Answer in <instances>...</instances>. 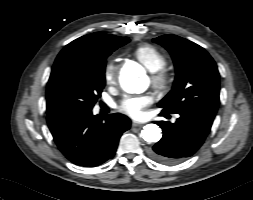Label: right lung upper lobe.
I'll use <instances>...</instances> for the list:
<instances>
[{"label": "right lung upper lobe", "mask_w": 253, "mask_h": 200, "mask_svg": "<svg viewBox=\"0 0 253 200\" xmlns=\"http://www.w3.org/2000/svg\"><path fill=\"white\" fill-rule=\"evenodd\" d=\"M120 37L104 33H92L82 36L64 47L57 58L64 56L94 57L101 50Z\"/></svg>", "instance_id": "cb5924a9"}]
</instances>
